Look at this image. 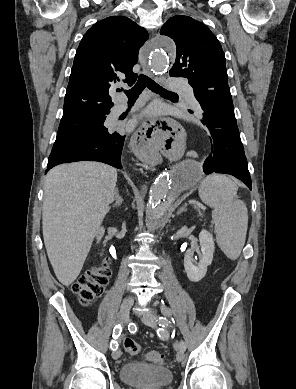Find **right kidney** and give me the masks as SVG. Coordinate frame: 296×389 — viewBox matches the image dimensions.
<instances>
[{
    "label": "right kidney",
    "instance_id": "obj_1",
    "mask_svg": "<svg viewBox=\"0 0 296 389\" xmlns=\"http://www.w3.org/2000/svg\"><path fill=\"white\" fill-rule=\"evenodd\" d=\"M104 232H105V229H104L103 227L99 228V230L97 231L96 238H97V241H98V242H99V241L101 240V238L103 237Z\"/></svg>",
    "mask_w": 296,
    "mask_h": 389
}]
</instances>
